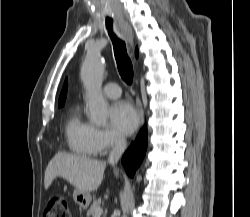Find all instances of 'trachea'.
Listing matches in <instances>:
<instances>
[{
    "instance_id": "1",
    "label": "trachea",
    "mask_w": 250,
    "mask_h": 217,
    "mask_svg": "<svg viewBox=\"0 0 250 217\" xmlns=\"http://www.w3.org/2000/svg\"><path fill=\"white\" fill-rule=\"evenodd\" d=\"M113 21L106 20V28L112 40L114 47V55L117 62V67L121 78L127 83L132 84L133 81V66L130 58L127 55L125 42L120 40L112 29Z\"/></svg>"
}]
</instances>
